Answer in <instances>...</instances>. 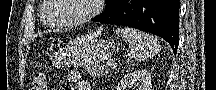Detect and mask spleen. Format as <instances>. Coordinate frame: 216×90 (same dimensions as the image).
Returning a JSON list of instances; mask_svg holds the SVG:
<instances>
[{"label": "spleen", "instance_id": "1", "mask_svg": "<svg viewBox=\"0 0 216 90\" xmlns=\"http://www.w3.org/2000/svg\"><path fill=\"white\" fill-rule=\"evenodd\" d=\"M116 34L128 44L131 58L134 60H148L160 52L157 38L146 32H140L134 28H117Z\"/></svg>", "mask_w": 216, "mask_h": 90}]
</instances>
